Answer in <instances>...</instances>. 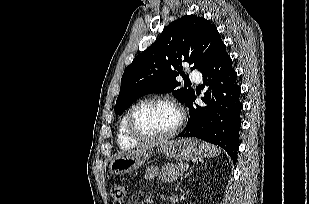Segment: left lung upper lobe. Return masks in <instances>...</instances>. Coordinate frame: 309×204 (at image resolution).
<instances>
[{
  "label": "left lung upper lobe",
  "mask_w": 309,
  "mask_h": 204,
  "mask_svg": "<svg viewBox=\"0 0 309 204\" xmlns=\"http://www.w3.org/2000/svg\"><path fill=\"white\" fill-rule=\"evenodd\" d=\"M225 46L216 27L208 20L185 15L170 23L162 36L139 54L125 69L115 114L121 115L135 100L149 93H172L188 107L195 92L179 88L178 75H184L182 63L205 71Z\"/></svg>",
  "instance_id": "left-lung-upper-lobe-1"
}]
</instances>
